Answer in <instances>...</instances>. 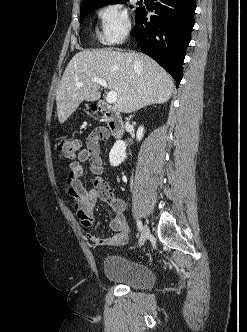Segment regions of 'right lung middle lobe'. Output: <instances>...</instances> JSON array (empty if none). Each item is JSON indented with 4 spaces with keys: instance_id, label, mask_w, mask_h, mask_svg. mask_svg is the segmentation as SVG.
I'll list each match as a JSON object with an SVG mask.
<instances>
[{
    "instance_id": "1",
    "label": "right lung middle lobe",
    "mask_w": 247,
    "mask_h": 332,
    "mask_svg": "<svg viewBox=\"0 0 247 332\" xmlns=\"http://www.w3.org/2000/svg\"><path fill=\"white\" fill-rule=\"evenodd\" d=\"M118 3H122V0H108V1H105L102 3H97V4L81 7L80 8V13H81L80 22L82 23L83 17H85L89 12L94 11L98 8H101V7L109 5V4H118Z\"/></svg>"
}]
</instances>
